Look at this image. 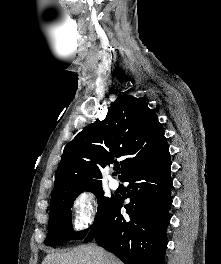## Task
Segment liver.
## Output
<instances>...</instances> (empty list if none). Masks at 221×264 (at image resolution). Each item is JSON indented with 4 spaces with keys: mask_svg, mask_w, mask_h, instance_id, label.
I'll list each match as a JSON object with an SVG mask.
<instances>
[{
    "mask_svg": "<svg viewBox=\"0 0 221 264\" xmlns=\"http://www.w3.org/2000/svg\"><path fill=\"white\" fill-rule=\"evenodd\" d=\"M42 264H123L114 255L100 247L81 245L66 253H50Z\"/></svg>",
    "mask_w": 221,
    "mask_h": 264,
    "instance_id": "obj_1",
    "label": "liver"
}]
</instances>
